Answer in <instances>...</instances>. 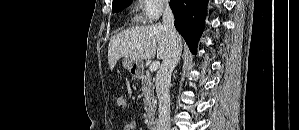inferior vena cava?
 Wrapping results in <instances>:
<instances>
[{"instance_id":"obj_1","label":"inferior vena cava","mask_w":299,"mask_h":130,"mask_svg":"<svg viewBox=\"0 0 299 130\" xmlns=\"http://www.w3.org/2000/svg\"><path fill=\"white\" fill-rule=\"evenodd\" d=\"M162 26L168 33L169 52L163 60L155 80L156 93L159 101L157 130H170L169 83L171 81V74L181 56L182 41L181 36L175 29L174 15L169 4H166L164 7Z\"/></svg>"}]
</instances>
